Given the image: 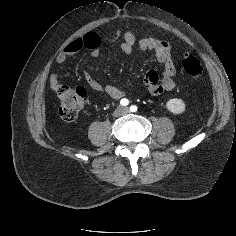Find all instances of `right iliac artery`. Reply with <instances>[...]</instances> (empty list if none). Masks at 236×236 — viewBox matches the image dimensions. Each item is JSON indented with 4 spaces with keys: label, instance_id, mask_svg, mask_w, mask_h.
I'll return each instance as SVG.
<instances>
[{
    "label": "right iliac artery",
    "instance_id": "82829eb1",
    "mask_svg": "<svg viewBox=\"0 0 236 236\" xmlns=\"http://www.w3.org/2000/svg\"><path fill=\"white\" fill-rule=\"evenodd\" d=\"M120 104L123 106H127L129 104V101H128V99L123 98V99H121Z\"/></svg>",
    "mask_w": 236,
    "mask_h": 236
}]
</instances>
